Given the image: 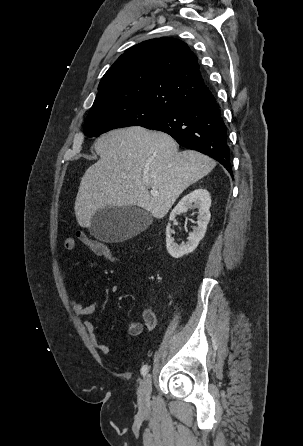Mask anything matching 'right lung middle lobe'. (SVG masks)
<instances>
[{"instance_id": "dd1d6c3e", "label": "right lung middle lobe", "mask_w": 303, "mask_h": 446, "mask_svg": "<svg viewBox=\"0 0 303 446\" xmlns=\"http://www.w3.org/2000/svg\"><path fill=\"white\" fill-rule=\"evenodd\" d=\"M166 111L142 103H114L92 108L85 120L84 133L94 137L112 129L142 125Z\"/></svg>"}]
</instances>
